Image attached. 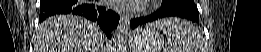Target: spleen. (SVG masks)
Listing matches in <instances>:
<instances>
[{"mask_svg":"<svg viewBox=\"0 0 261 52\" xmlns=\"http://www.w3.org/2000/svg\"><path fill=\"white\" fill-rule=\"evenodd\" d=\"M153 29L163 30L168 36V52H205L200 45L199 30L186 20L168 18L156 21Z\"/></svg>","mask_w":261,"mask_h":52,"instance_id":"3e777b00","label":"spleen"}]
</instances>
